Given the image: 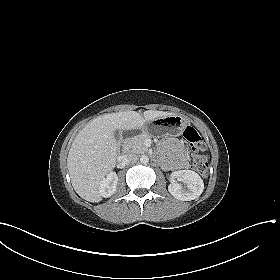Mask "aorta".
<instances>
[{"label": "aorta", "instance_id": "obj_1", "mask_svg": "<svg viewBox=\"0 0 280 280\" xmlns=\"http://www.w3.org/2000/svg\"><path fill=\"white\" fill-rule=\"evenodd\" d=\"M140 162H141L142 164H147V163L149 162V157H148L147 155H142V156L140 157Z\"/></svg>", "mask_w": 280, "mask_h": 280}]
</instances>
